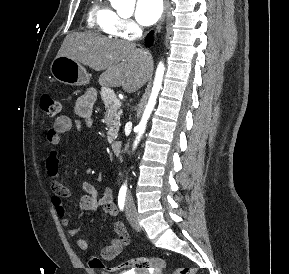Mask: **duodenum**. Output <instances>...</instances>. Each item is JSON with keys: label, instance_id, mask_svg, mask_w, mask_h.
<instances>
[{"label": "duodenum", "instance_id": "duodenum-1", "mask_svg": "<svg viewBox=\"0 0 289 274\" xmlns=\"http://www.w3.org/2000/svg\"><path fill=\"white\" fill-rule=\"evenodd\" d=\"M111 148L115 154H119L121 152L122 143L118 140L113 141L111 144Z\"/></svg>", "mask_w": 289, "mask_h": 274}]
</instances>
